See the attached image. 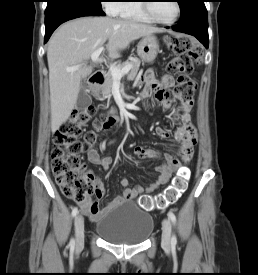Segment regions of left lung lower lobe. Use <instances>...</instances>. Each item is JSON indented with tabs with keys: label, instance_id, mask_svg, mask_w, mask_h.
<instances>
[{
	"label": "left lung lower lobe",
	"instance_id": "0a47b994",
	"mask_svg": "<svg viewBox=\"0 0 258 275\" xmlns=\"http://www.w3.org/2000/svg\"><path fill=\"white\" fill-rule=\"evenodd\" d=\"M205 0H190L182 11L180 22L172 29L195 36L208 48V16Z\"/></svg>",
	"mask_w": 258,
	"mask_h": 275
}]
</instances>
